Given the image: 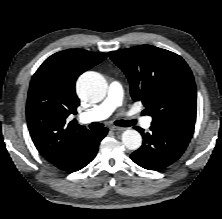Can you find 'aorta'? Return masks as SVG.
I'll use <instances>...</instances> for the list:
<instances>
[{
    "instance_id": "obj_1",
    "label": "aorta",
    "mask_w": 222,
    "mask_h": 219,
    "mask_svg": "<svg viewBox=\"0 0 222 219\" xmlns=\"http://www.w3.org/2000/svg\"><path fill=\"white\" fill-rule=\"evenodd\" d=\"M76 88L81 99L96 103L105 97L107 83L99 73L88 71L79 77ZM122 143L129 150H137L142 144V137L138 131L128 129L122 134Z\"/></svg>"
}]
</instances>
